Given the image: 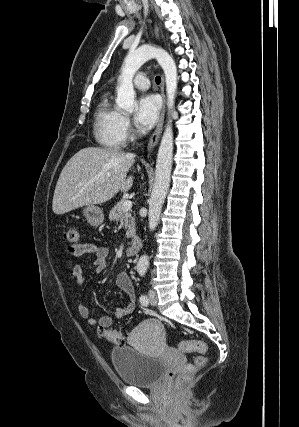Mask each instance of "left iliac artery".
I'll use <instances>...</instances> for the list:
<instances>
[{"instance_id":"obj_1","label":"left iliac artery","mask_w":299,"mask_h":427,"mask_svg":"<svg viewBox=\"0 0 299 427\" xmlns=\"http://www.w3.org/2000/svg\"><path fill=\"white\" fill-rule=\"evenodd\" d=\"M145 273H146V270L145 269H140L139 270V274H140V276H144L145 275ZM139 301H140V303L143 305V306H147L148 305V299H147V296L146 295H141L140 296V298H139Z\"/></svg>"}]
</instances>
